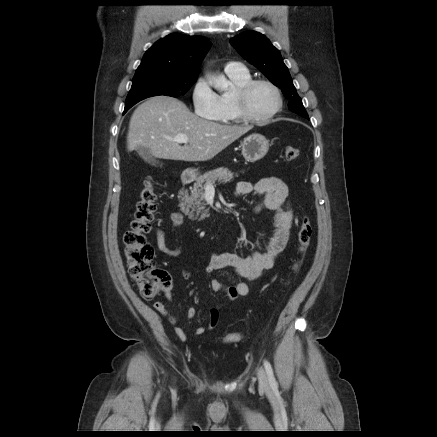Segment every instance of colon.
<instances>
[{
  "instance_id": "colon-1",
  "label": "colon",
  "mask_w": 437,
  "mask_h": 437,
  "mask_svg": "<svg viewBox=\"0 0 437 437\" xmlns=\"http://www.w3.org/2000/svg\"><path fill=\"white\" fill-rule=\"evenodd\" d=\"M298 148L287 146L285 157L288 161L296 160L299 157ZM157 195L153 181L148 178L140 190L139 199L136 203L134 219L129 230L124 234V251L128 271L131 278L136 282L140 294L145 299H152L163 289L165 273L158 270L154 261V249L146 240L150 232L151 222L156 211ZM312 237V226L310 219L302 218L297 238L298 256L292 266L291 274L286 281L288 284L291 278L299 271L305 252ZM242 339V334L232 332L225 336L226 344L237 343Z\"/></svg>"
}]
</instances>
